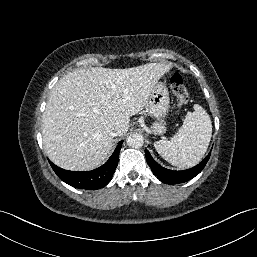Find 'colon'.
<instances>
[{"label":"colon","instance_id":"obj_1","mask_svg":"<svg viewBox=\"0 0 257 257\" xmlns=\"http://www.w3.org/2000/svg\"><path fill=\"white\" fill-rule=\"evenodd\" d=\"M170 87L176 96L180 105H184L189 100L188 89L179 73H173L170 76Z\"/></svg>","mask_w":257,"mask_h":257}]
</instances>
